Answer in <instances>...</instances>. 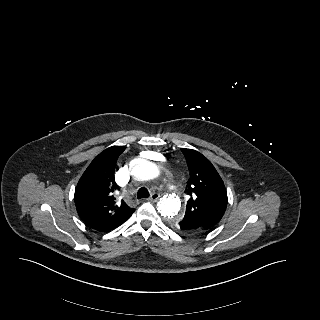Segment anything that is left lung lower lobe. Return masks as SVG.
I'll return each mask as SVG.
<instances>
[{
  "label": "left lung lower lobe",
  "mask_w": 320,
  "mask_h": 320,
  "mask_svg": "<svg viewBox=\"0 0 320 320\" xmlns=\"http://www.w3.org/2000/svg\"><path fill=\"white\" fill-rule=\"evenodd\" d=\"M174 229L186 234H198V233L204 232L203 230L195 228V224L189 221H179L177 228H174Z\"/></svg>",
  "instance_id": "0a47b994"
}]
</instances>
